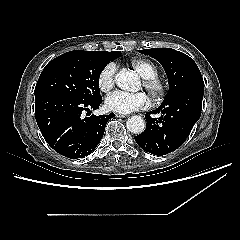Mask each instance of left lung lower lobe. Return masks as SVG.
Wrapping results in <instances>:
<instances>
[{
    "mask_svg": "<svg viewBox=\"0 0 240 240\" xmlns=\"http://www.w3.org/2000/svg\"><path fill=\"white\" fill-rule=\"evenodd\" d=\"M204 85L181 90L151 113H161L159 119L146 113V129L135 137L136 143L146 152L161 156L177 149L186 140L201 116Z\"/></svg>",
    "mask_w": 240,
    "mask_h": 240,
    "instance_id": "1",
    "label": "left lung lower lobe"
}]
</instances>
